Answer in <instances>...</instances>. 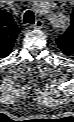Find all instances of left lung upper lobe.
<instances>
[{"label": "left lung upper lobe", "instance_id": "1", "mask_svg": "<svg viewBox=\"0 0 74 122\" xmlns=\"http://www.w3.org/2000/svg\"><path fill=\"white\" fill-rule=\"evenodd\" d=\"M56 43L65 54L74 55V11L71 14V25L56 39Z\"/></svg>", "mask_w": 74, "mask_h": 122}]
</instances>
